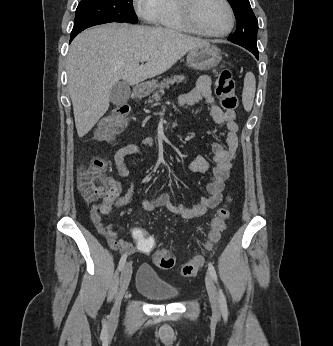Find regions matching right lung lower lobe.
<instances>
[{"label":"right lung lower lobe","instance_id":"right-lung-lower-lobe-1","mask_svg":"<svg viewBox=\"0 0 333 346\" xmlns=\"http://www.w3.org/2000/svg\"><path fill=\"white\" fill-rule=\"evenodd\" d=\"M75 36H76V35H71L70 42L73 40V38H74Z\"/></svg>","mask_w":333,"mask_h":346}]
</instances>
